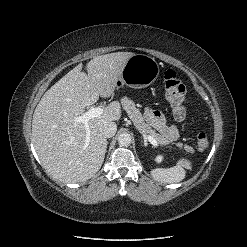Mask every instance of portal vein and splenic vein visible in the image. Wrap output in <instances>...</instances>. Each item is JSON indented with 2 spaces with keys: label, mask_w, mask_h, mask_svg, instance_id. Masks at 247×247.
I'll return each instance as SVG.
<instances>
[{
  "label": "portal vein and splenic vein",
  "mask_w": 247,
  "mask_h": 247,
  "mask_svg": "<svg viewBox=\"0 0 247 247\" xmlns=\"http://www.w3.org/2000/svg\"><path fill=\"white\" fill-rule=\"evenodd\" d=\"M101 114H103V109L100 107H92L87 112H85L83 115L76 117L75 122L83 123L87 132V139L89 138L90 131L88 126V121L92 118L99 117ZM146 139L154 146H157V141L150 135L146 136Z\"/></svg>",
  "instance_id": "portal-vein-and-splenic-vein-1"
}]
</instances>
